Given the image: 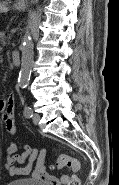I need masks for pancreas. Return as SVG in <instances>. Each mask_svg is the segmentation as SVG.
<instances>
[{"mask_svg": "<svg viewBox=\"0 0 119 185\" xmlns=\"http://www.w3.org/2000/svg\"><path fill=\"white\" fill-rule=\"evenodd\" d=\"M0 41L2 42L3 45L6 44V36L4 33H0Z\"/></svg>", "mask_w": 119, "mask_h": 185, "instance_id": "pancreas-1", "label": "pancreas"}]
</instances>
